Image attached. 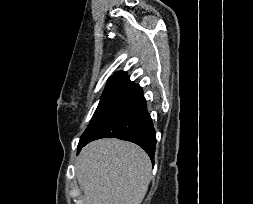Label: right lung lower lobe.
<instances>
[{
    "instance_id": "right-lung-lower-lobe-1",
    "label": "right lung lower lobe",
    "mask_w": 253,
    "mask_h": 204,
    "mask_svg": "<svg viewBox=\"0 0 253 204\" xmlns=\"http://www.w3.org/2000/svg\"><path fill=\"white\" fill-rule=\"evenodd\" d=\"M114 137L141 146L152 163L156 146V132L146 109V100L139 87L125 99L78 148V153L87 143L100 138Z\"/></svg>"
}]
</instances>
